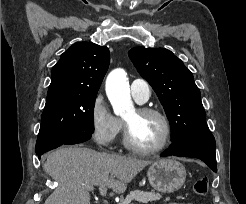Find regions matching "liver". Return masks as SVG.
Masks as SVG:
<instances>
[{
	"mask_svg": "<svg viewBox=\"0 0 246 204\" xmlns=\"http://www.w3.org/2000/svg\"><path fill=\"white\" fill-rule=\"evenodd\" d=\"M151 161L82 147H62L51 152L44 170L58 183L44 204H90L88 185L104 184L123 193L127 184Z\"/></svg>",
	"mask_w": 246,
	"mask_h": 204,
	"instance_id": "1",
	"label": "liver"
}]
</instances>
